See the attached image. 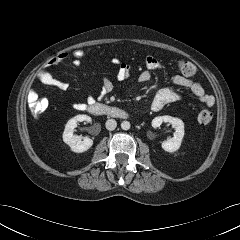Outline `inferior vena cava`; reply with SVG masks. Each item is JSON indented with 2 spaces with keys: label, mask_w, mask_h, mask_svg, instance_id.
I'll return each mask as SVG.
<instances>
[{
  "label": "inferior vena cava",
  "mask_w": 240,
  "mask_h": 240,
  "mask_svg": "<svg viewBox=\"0 0 240 240\" xmlns=\"http://www.w3.org/2000/svg\"><path fill=\"white\" fill-rule=\"evenodd\" d=\"M107 130H114L117 126V122L114 119H108L105 123Z\"/></svg>",
  "instance_id": "obj_1"
}]
</instances>
